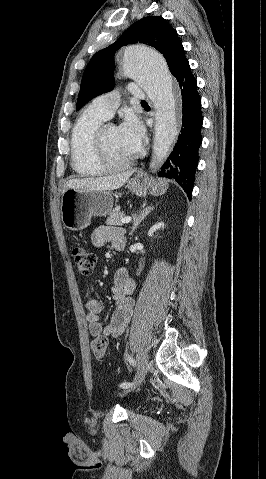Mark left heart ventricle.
Segmentation results:
<instances>
[{"label": "left heart ventricle", "instance_id": "b2bd125f", "mask_svg": "<svg viewBox=\"0 0 266 479\" xmlns=\"http://www.w3.org/2000/svg\"><path fill=\"white\" fill-rule=\"evenodd\" d=\"M105 142L109 157L115 162H123L131 157L125 149L117 128L108 127L105 131Z\"/></svg>", "mask_w": 266, "mask_h": 479}]
</instances>
